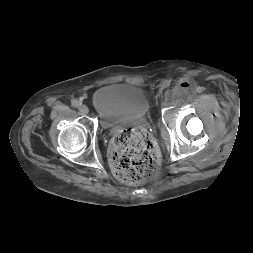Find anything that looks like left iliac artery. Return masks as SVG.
Masks as SVG:
<instances>
[{
  "mask_svg": "<svg viewBox=\"0 0 253 253\" xmlns=\"http://www.w3.org/2000/svg\"><path fill=\"white\" fill-rule=\"evenodd\" d=\"M170 84H171V81L167 79V80H165V81L162 83V87H163V88L169 87Z\"/></svg>",
  "mask_w": 253,
  "mask_h": 253,
  "instance_id": "left-iliac-artery-1",
  "label": "left iliac artery"
}]
</instances>
